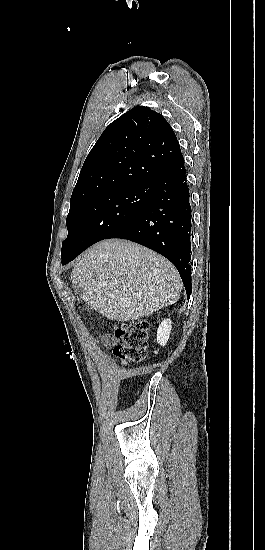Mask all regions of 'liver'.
I'll list each match as a JSON object with an SVG mask.
<instances>
[{
    "label": "liver",
    "instance_id": "liver-1",
    "mask_svg": "<svg viewBox=\"0 0 265 550\" xmlns=\"http://www.w3.org/2000/svg\"><path fill=\"white\" fill-rule=\"evenodd\" d=\"M71 279L91 309L118 322L172 305L182 290L180 275L170 261L122 239L104 240L86 250Z\"/></svg>",
    "mask_w": 265,
    "mask_h": 550
}]
</instances>
